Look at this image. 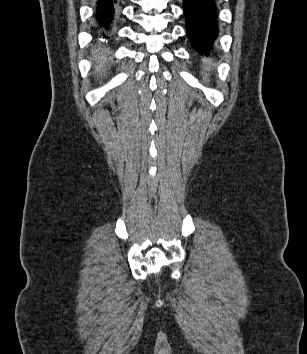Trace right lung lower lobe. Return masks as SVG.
Instances as JSON below:
<instances>
[{
    "instance_id": "right-lung-lower-lobe-1",
    "label": "right lung lower lobe",
    "mask_w": 307,
    "mask_h": 354,
    "mask_svg": "<svg viewBox=\"0 0 307 354\" xmlns=\"http://www.w3.org/2000/svg\"><path fill=\"white\" fill-rule=\"evenodd\" d=\"M117 0H97L94 18L97 28L101 30L103 36L110 30V25L116 17Z\"/></svg>"
}]
</instances>
